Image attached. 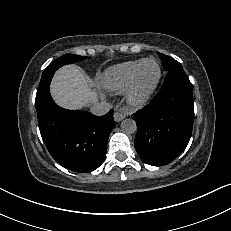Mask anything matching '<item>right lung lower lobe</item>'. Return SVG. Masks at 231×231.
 <instances>
[{
	"instance_id": "right-lung-lower-lobe-1",
	"label": "right lung lower lobe",
	"mask_w": 231,
	"mask_h": 231,
	"mask_svg": "<svg viewBox=\"0 0 231 231\" xmlns=\"http://www.w3.org/2000/svg\"><path fill=\"white\" fill-rule=\"evenodd\" d=\"M54 72L42 75L37 89L35 105L41 136L59 164L75 172L93 171L104 159L108 137L115 126L113 110L95 116L60 108L49 92Z\"/></svg>"
}]
</instances>
